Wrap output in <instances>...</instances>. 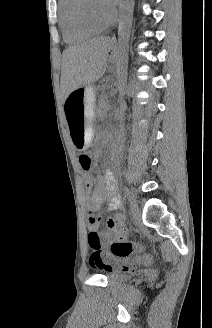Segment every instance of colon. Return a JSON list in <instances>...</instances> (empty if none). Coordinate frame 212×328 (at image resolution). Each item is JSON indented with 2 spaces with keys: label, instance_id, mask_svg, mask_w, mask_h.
Instances as JSON below:
<instances>
[{
  "label": "colon",
  "instance_id": "1",
  "mask_svg": "<svg viewBox=\"0 0 212 328\" xmlns=\"http://www.w3.org/2000/svg\"><path fill=\"white\" fill-rule=\"evenodd\" d=\"M78 165L80 170H92L93 164L89 153H80L78 157ZM92 219H94L92 217ZM88 244L92 249L90 256V264L98 269H111L112 257L126 259L137 251L141 250V246L126 239H117L111 244L110 253H106L102 249L101 238L98 232L90 231L88 234ZM145 265L152 263L149 255H142L138 258Z\"/></svg>",
  "mask_w": 212,
  "mask_h": 328
}]
</instances>
